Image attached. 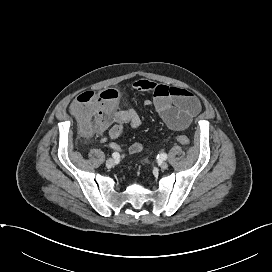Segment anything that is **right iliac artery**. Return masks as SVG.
<instances>
[{"label":"right iliac artery","mask_w":272,"mask_h":272,"mask_svg":"<svg viewBox=\"0 0 272 272\" xmlns=\"http://www.w3.org/2000/svg\"><path fill=\"white\" fill-rule=\"evenodd\" d=\"M112 157L114 158V159H119L120 158V154L119 153H117V152H114L113 154H112Z\"/></svg>","instance_id":"obj_1"}]
</instances>
